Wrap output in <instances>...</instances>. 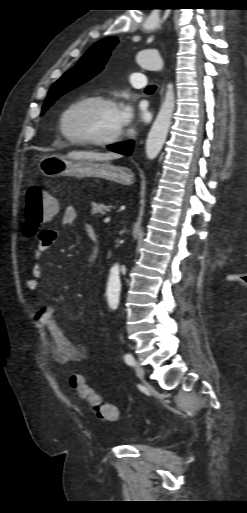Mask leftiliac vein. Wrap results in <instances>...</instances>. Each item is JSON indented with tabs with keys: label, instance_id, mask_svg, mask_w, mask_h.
<instances>
[{
	"label": "left iliac vein",
	"instance_id": "left-iliac-vein-1",
	"mask_svg": "<svg viewBox=\"0 0 247 513\" xmlns=\"http://www.w3.org/2000/svg\"><path fill=\"white\" fill-rule=\"evenodd\" d=\"M135 372L141 378L144 376V369L138 361L135 362Z\"/></svg>",
	"mask_w": 247,
	"mask_h": 513
}]
</instances>
